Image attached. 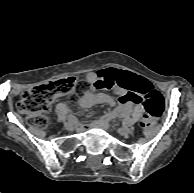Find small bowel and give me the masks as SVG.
I'll use <instances>...</instances> for the list:
<instances>
[{"mask_svg": "<svg viewBox=\"0 0 194 193\" xmlns=\"http://www.w3.org/2000/svg\"><path fill=\"white\" fill-rule=\"evenodd\" d=\"M119 71L114 68H106L96 72H90L85 77L88 89L76 99L80 108H89L102 104H111L114 106L112 111L105 113L97 122V126H106L108 122L115 118L124 117L132 113L136 118L142 115V109L133 107L130 101L121 100L115 102L109 95L102 90L109 79L117 78ZM136 92L140 93L148 86L152 87L143 79L137 78Z\"/></svg>", "mask_w": 194, "mask_h": 193, "instance_id": "small-bowel-1", "label": "small bowel"}]
</instances>
